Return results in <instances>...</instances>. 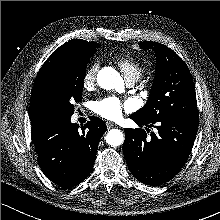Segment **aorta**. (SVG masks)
Here are the masks:
<instances>
[{
	"mask_svg": "<svg viewBox=\"0 0 220 220\" xmlns=\"http://www.w3.org/2000/svg\"><path fill=\"white\" fill-rule=\"evenodd\" d=\"M98 85L106 90L117 89L123 86V80L114 68L104 67L97 74ZM106 142L112 146H120L124 142V135L118 129H111L106 135Z\"/></svg>",
	"mask_w": 220,
	"mask_h": 220,
	"instance_id": "obj_1",
	"label": "aorta"
}]
</instances>
